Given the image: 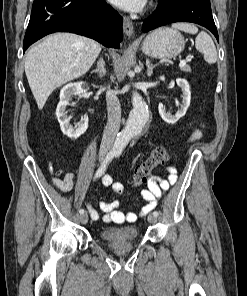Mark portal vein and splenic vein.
<instances>
[{
	"label": "portal vein and splenic vein",
	"mask_w": 247,
	"mask_h": 296,
	"mask_svg": "<svg viewBox=\"0 0 247 296\" xmlns=\"http://www.w3.org/2000/svg\"><path fill=\"white\" fill-rule=\"evenodd\" d=\"M185 65H186V60L185 59L180 60L179 67H183Z\"/></svg>",
	"instance_id": "18ae733b"
}]
</instances>
